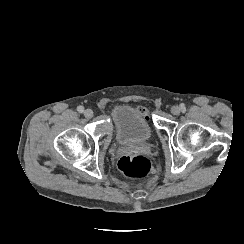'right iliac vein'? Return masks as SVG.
I'll return each instance as SVG.
<instances>
[{
    "label": "right iliac vein",
    "instance_id": "obj_1",
    "mask_svg": "<svg viewBox=\"0 0 244 244\" xmlns=\"http://www.w3.org/2000/svg\"><path fill=\"white\" fill-rule=\"evenodd\" d=\"M84 116L85 118L90 119L93 116V111L91 109H86L84 111Z\"/></svg>",
    "mask_w": 244,
    "mask_h": 244
}]
</instances>
